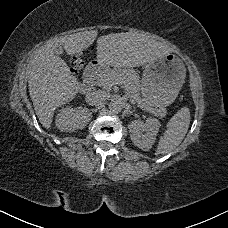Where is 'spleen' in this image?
Here are the masks:
<instances>
[{
    "mask_svg": "<svg viewBox=\"0 0 228 228\" xmlns=\"http://www.w3.org/2000/svg\"><path fill=\"white\" fill-rule=\"evenodd\" d=\"M191 121L189 106L181 107L168 121L165 129L160 134L154 155H175L178 147L188 133Z\"/></svg>",
    "mask_w": 228,
    "mask_h": 228,
    "instance_id": "obj_1",
    "label": "spleen"
}]
</instances>
